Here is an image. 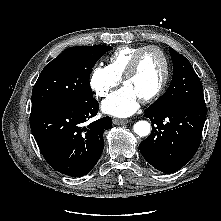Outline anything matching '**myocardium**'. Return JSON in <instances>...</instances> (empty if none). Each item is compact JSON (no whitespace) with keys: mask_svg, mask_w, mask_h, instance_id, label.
<instances>
[{"mask_svg":"<svg viewBox=\"0 0 221 221\" xmlns=\"http://www.w3.org/2000/svg\"><path fill=\"white\" fill-rule=\"evenodd\" d=\"M157 51L158 53H160L162 60H163V76L162 79L158 85V87L155 89L154 92H152L150 95L144 97L141 99V101L143 103H149L154 101L155 99H157L164 91L168 80H169V76H170V66H169V60L168 57L166 55V53L164 52L163 49H161L160 47L156 46V45H148L142 49H140L132 58L127 70L125 71L124 75L122 76L121 80L122 83L124 84L125 81L127 79H129L130 77H132L139 66L140 60L142 58V56L148 52V51Z\"/></svg>","mask_w":221,"mask_h":221,"instance_id":"obj_1","label":"myocardium"}]
</instances>
